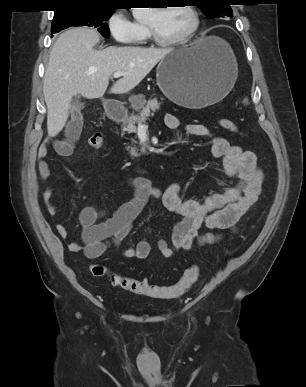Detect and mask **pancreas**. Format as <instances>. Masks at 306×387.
Returning a JSON list of instances; mask_svg holds the SVG:
<instances>
[{
  "mask_svg": "<svg viewBox=\"0 0 306 387\" xmlns=\"http://www.w3.org/2000/svg\"><path fill=\"white\" fill-rule=\"evenodd\" d=\"M132 108L139 112L137 115H130L124 118L123 127L128 133H137V126L145 122L149 116L154 115V112L160 109V103L157 98L146 101L144 95H134L131 97ZM131 157L140 156L139 150L136 147H128ZM144 152L142 148L140 150Z\"/></svg>",
  "mask_w": 306,
  "mask_h": 387,
  "instance_id": "obj_1",
  "label": "pancreas"
}]
</instances>
